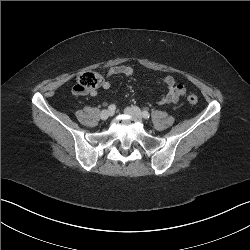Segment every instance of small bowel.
Instances as JSON below:
<instances>
[{
    "label": "small bowel",
    "mask_w": 250,
    "mask_h": 250,
    "mask_svg": "<svg viewBox=\"0 0 250 250\" xmlns=\"http://www.w3.org/2000/svg\"><path fill=\"white\" fill-rule=\"evenodd\" d=\"M134 74V69L127 65L112 66L108 69L106 78L103 81L102 87L106 90L110 89L112 83L110 79L113 76H125L130 77ZM157 83L164 85L166 91L163 96L159 99L158 103L161 105H167L176 103L182 96L186 94V88L182 84H177L176 80L172 76H166L157 80ZM90 96H96L97 91L93 90L89 92Z\"/></svg>",
    "instance_id": "c3829d8e"
}]
</instances>
